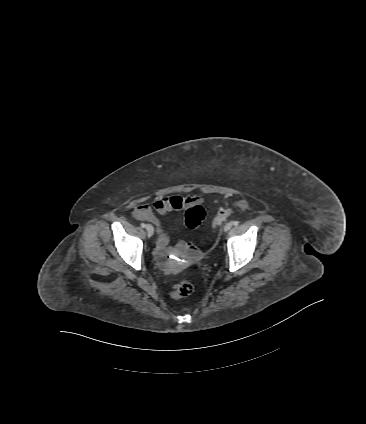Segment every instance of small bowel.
Segmentation results:
<instances>
[{
    "mask_svg": "<svg viewBox=\"0 0 366 424\" xmlns=\"http://www.w3.org/2000/svg\"><path fill=\"white\" fill-rule=\"evenodd\" d=\"M201 199L199 196H157L150 206L147 203L139 204L133 215L137 220L148 221L155 225L157 233V251L156 255L160 263L165 264L166 257L171 253L169 247V237L162 227L160 220L156 217L153 210L159 215H165L171 211L186 210L194 205L200 203ZM185 242L179 241L176 246V251H182L185 248Z\"/></svg>",
    "mask_w": 366,
    "mask_h": 424,
    "instance_id": "1",
    "label": "small bowel"
}]
</instances>
